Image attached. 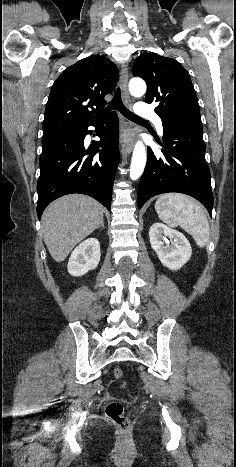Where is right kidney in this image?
<instances>
[{
    "label": "right kidney",
    "instance_id": "right-kidney-1",
    "mask_svg": "<svg viewBox=\"0 0 236 467\" xmlns=\"http://www.w3.org/2000/svg\"><path fill=\"white\" fill-rule=\"evenodd\" d=\"M100 257L99 241L96 238H89L72 252L67 265L68 272L72 276H82L98 266Z\"/></svg>",
    "mask_w": 236,
    "mask_h": 467
}]
</instances>
